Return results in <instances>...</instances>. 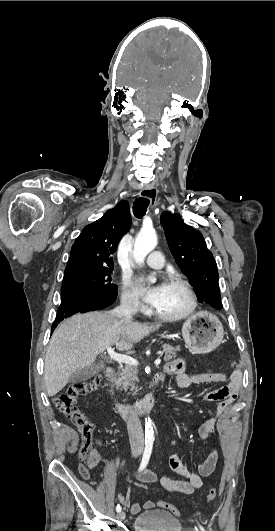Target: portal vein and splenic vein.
<instances>
[{
    "instance_id": "18ae733b",
    "label": "portal vein and splenic vein",
    "mask_w": 275,
    "mask_h": 531,
    "mask_svg": "<svg viewBox=\"0 0 275 531\" xmlns=\"http://www.w3.org/2000/svg\"><path fill=\"white\" fill-rule=\"evenodd\" d=\"M107 353L110 357V359H113V361H118V363H125V365H138V361L136 359H132V357H128V355H119V353H115L114 349H111V347H107ZM161 359H156L155 365H160Z\"/></svg>"
}]
</instances>
